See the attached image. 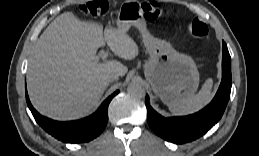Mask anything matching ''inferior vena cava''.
Segmentation results:
<instances>
[{
	"instance_id": "1",
	"label": "inferior vena cava",
	"mask_w": 259,
	"mask_h": 156,
	"mask_svg": "<svg viewBox=\"0 0 259 156\" xmlns=\"http://www.w3.org/2000/svg\"><path fill=\"white\" fill-rule=\"evenodd\" d=\"M118 77H119V74H118V73H116V72H111V73H109V74L107 75V80H108V82H112V81H114V80H117Z\"/></svg>"
}]
</instances>
